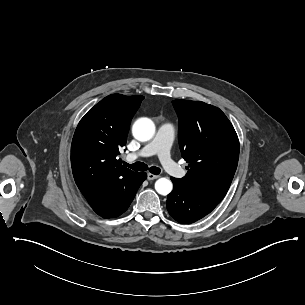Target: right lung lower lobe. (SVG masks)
<instances>
[{"instance_id":"1","label":"right lung lower lobe","mask_w":305,"mask_h":305,"mask_svg":"<svg viewBox=\"0 0 305 305\" xmlns=\"http://www.w3.org/2000/svg\"><path fill=\"white\" fill-rule=\"evenodd\" d=\"M147 178V174L144 172L138 173L135 181L122 190L117 191L110 199L102 202L96 206H93V210L96 214L103 218H115L124 213L130 206L134 196Z\"/></svg>"}]
</instances>
